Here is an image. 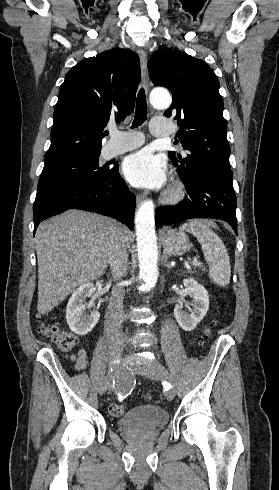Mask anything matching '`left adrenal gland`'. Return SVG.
Returning a JSON list of instances; mask_svg holds the SVG:
<instances>
[{
  "label": "left adrenal gland",
  "mask_w": 279,
  "mask_h": 490,
  "mask_svg": "<svg viewBox=\"0 0 279 490\" xmlns=\"http://www.w3.org/2000/svg\"><path fill=\"white\" fill-rule=\"evenodd\" d=\"M167 260H168V256H162V262H163L162 266H167V268H172L170 262H167Z\"/></svg>",
  "instance_id": "1"
}]
</instances>
